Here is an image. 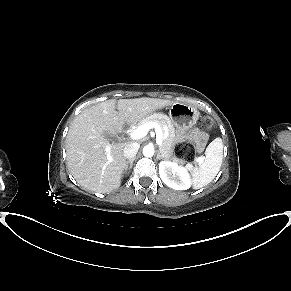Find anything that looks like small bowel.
Listing matches in <instances>:
<instances>
[{
	"instance_id": "1",
	"label": "small bowel",
	"mask_w": 291,
	"mask_h": 291,
	"mask_svg": "<svg viewBox=\"0 0 291 291\" xmlns=\"http://www.w3.org/2000/svg\"><path fill=\"white\" fill-rule=\"evenodd\" d=\"M195 137H196V139L198 140V142H199V143H201V142H202L201 135H199V134H196V135H195Z\"/></svg>"
}]
</instances>
